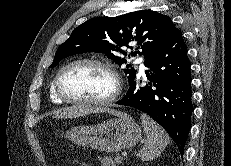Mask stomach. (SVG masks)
I'll use <instances>...</instances> for the list:
<instances>
[{"mask_svg": "<svg viewBox=\"0 0 231 166\" xmlns=\"http://www.w3.org/2000/svg\"><path fill=\"white\" fill-rule=\"evenodd\" d=\"M66 137L76 145L114 153L135 146L141 139V127L131 116L121 113L97 125L72 127Z\"/></svg>", "mask_w": 231, "mask_h": 166, "instance_id": "0dacf381", "label": "stomach"}]
</instances>
